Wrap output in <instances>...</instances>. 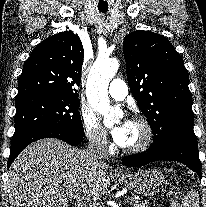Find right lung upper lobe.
<instances>
[{
  "label": "right lung upper lobe",
  "instance_id": "1",
  "mask_svg": "<svg viewBox=\"0 0 206 207\" xmlns=\"http://www.w3.org/2000/svg\"><path fill=\"white\" fill-rule=\"evenodd\" d=\"M84 49L78 35L65 31L51 36L32 51L18 82L16 100L34 95L78 97Z\"/></svg>",
  "mask_w": 206,
  "mask_h": 207
}]
</instances>
